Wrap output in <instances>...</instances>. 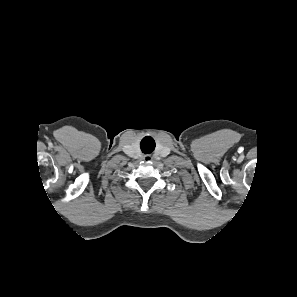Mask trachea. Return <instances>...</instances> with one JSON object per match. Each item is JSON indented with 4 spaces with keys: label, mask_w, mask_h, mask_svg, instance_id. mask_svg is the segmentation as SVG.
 <instances>
[{
    "label": "trachea",
    "mask_w": 297,
    "mask_h": 297,
    "mask_svg": "<svg viewBox=\"0 0 297 297\" xmlns=\"http://www.w3.org/2000/svg\"><path fill=\"white\" fill-rule=\"evenodd\" d=\"M150 140V138H144L141 142V148L145 149V148H148V141ZM152 151V150H151Z\"/></svg>",
    "instance_id": "3493384b"
}]
</instances>
